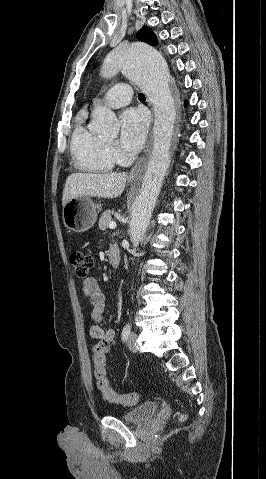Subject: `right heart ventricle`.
I'll list each match as a JSON object with an SVG mask.
<instances>
[{
    "label": "right heart ventricle",
    "instance_id": "1",
    "mask_svg": "<svg viewBox=\"0 0 266 479\" xmlns=\"http://www.w3.org/2000/svg\"><path fill=\"white\" fill-rule=\"evenodd\" d=\"M71 154L77 169L91 173L112 171L115 159L109 151L107 142L90 131L79 118L71 138Z\"/></svg>",
    "mask_w": 266,
    "mask_h": 479
}]
</instances>
